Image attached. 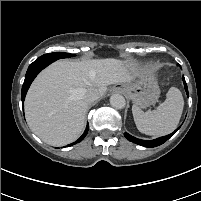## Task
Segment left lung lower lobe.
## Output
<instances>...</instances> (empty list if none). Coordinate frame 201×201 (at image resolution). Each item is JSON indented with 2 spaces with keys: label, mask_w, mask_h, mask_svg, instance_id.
Masks as SVG:
<instances>
[{
  "label": "left lung lower lobe",
  "mask_w": 201,
  "mask_h": 201,
  "mask_svg": "<svg viewBox=\"0 0 201 201\" xmlns=\"http://www.w3.org/2000/svg\"><path fill=\"white\" fill-rule=\"evenodd\" d=\"M183 82H184V86H185V90L187 92L188 95V88H187V84L185 82V78L183 77ZM179 128H177L173 133L154 139V140H141L138 138H135L131 135H129L128 133H124V136L131 142L144 146V147H148V148H152V147H157L159 145H162L163 143H165L169 138L172 137V135L178 130Z\"/></svg>",
  "instance_id": "left-lung-lower-lobe-1"
}]
</instances>
